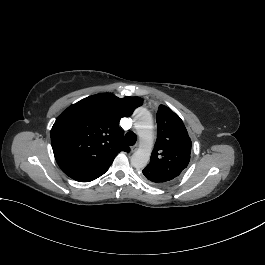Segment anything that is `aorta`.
<instances>
[{"label":"aorta","mask_w":265,"mask_h":265,"mask_svg":"<svg viewBox=\"0 0 265 265\" xmlns=\"http://www.w3.org/2000/svg\"><path fill=\"white\" fill-rule=\"evenodd\" d=\"M135 127L139 130L141 141L140 147L131 156V164L141 169L148 164L153 146V119L147 109L138 108L135 111Z\"/></svg>","instance_id":"obj_1"}]
</instances>
